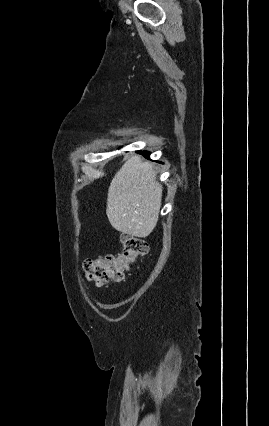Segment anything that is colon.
I'll use <instances>...</instances> for the list:
<instances>
[{"mask_svg":"<svg viewBox=\"0 0 269 426\" xmlns=\"http://www.w3.org/2000/svg\"><path fill=\"white\" fill-rule=\"evenodd\" d=\"M122 253L103 255L87 259L83 272L86 280L97 286L124 280L130 266L148 252V244L142 238L124 233L121 235Z\"/></svg>","mask_w":269,"mask_h":426,"instance_id":"1","label":"colon"}]
</instances>
